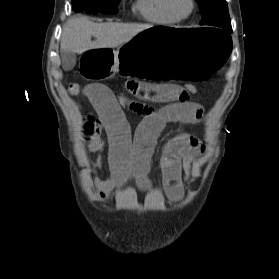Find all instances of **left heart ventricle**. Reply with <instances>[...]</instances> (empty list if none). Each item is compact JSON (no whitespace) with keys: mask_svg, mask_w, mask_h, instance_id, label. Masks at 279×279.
Wrapping results in <instances>:
<instances>
[{"mask_svg":"<svg viewBox=\"0 0 279 279\" xmlns=\"http://www.w3.org/2000/svg\"><path fill=\"white\" fill-rule=\"evenodd\" d=\"M173 9L177 14L184 15L190 9L189 0H173Z\"/></svg>","mask_w":279,"mask_h":279,"instance_id":"1","label":"left heart ventricle"}]
</instances>
